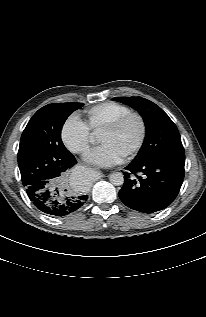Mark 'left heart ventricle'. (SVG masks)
<instances>
[{
	"label": "left heart ventricle",
	"mask_w": 206,
	"mask_h": 317,
	"mask_svg": "<svg viewBox=\"0 0 206 317\" xmlns=\"http://www.w3.org/2000/svg\"><path fill=\"white\" fill-rule=\"evenodd\" d=\"M140 132L137 119L129 120L122 128L114 132H101L99 140L117 148L122 154H126L136 143Z\"/></svg>",
	"instance_id": "b2bd125f"
}]
</instances>
